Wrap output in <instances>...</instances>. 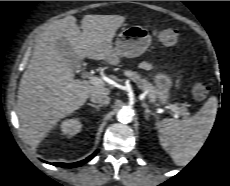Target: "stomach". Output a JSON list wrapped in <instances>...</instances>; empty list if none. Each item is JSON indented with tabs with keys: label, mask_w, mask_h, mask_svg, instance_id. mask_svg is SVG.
Listing matches in <instances>:
<instances>
[{
	"label": "stomach",
	"mask_w": 230,
	"mask_h": 186,
	"mask_svg": "<svg viewBox=\"0 0 230 186\" xmlns=\"http://www.w3.org/2000/svg\"><path fill=\"white\" fill-rule=\"evenodd\" d=\"M150 43V34L145 28L137 25L124 28L115 41L108 62L117 65L120 57H138L147 50ZM153 80L157 89V98L161 103H166L170 97L172 78L164 72H157Z\"/></svg>",
	"instance_id": "obj_1"
}]
</instances>
